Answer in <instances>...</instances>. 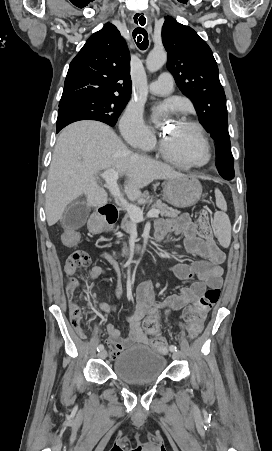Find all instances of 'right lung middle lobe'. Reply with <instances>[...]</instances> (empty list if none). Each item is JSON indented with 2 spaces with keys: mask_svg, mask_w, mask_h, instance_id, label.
<instances>
[{
  "mask_svg": "<svg viewBox=\"0 0 272 451\" xmlns=\"http://www.w3.org/2000/svg\"><path fill=\"white\" fill-rule=\"evenodd\" d=\"M129 98L84 96L61 100L57 129L79 120H97L114 126Z\"/></svg>",
  "mask_w": 272,
  "mask_h": 451,
  "instance_id": "dd1d6c3e",
  "label": "right lung middle lobe"
}]
</instances>
